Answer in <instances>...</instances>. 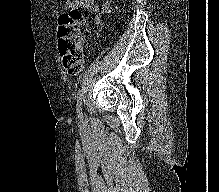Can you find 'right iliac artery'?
I'll return each mask as SVG.
<instances>
[{"label": "right iliac artery", "instance_id": "1", "mask_svg": "<svg viewBox=\"0 0 219 192\" xmlns=\"http://www.w3.org/2000/svg\"><path fill=\"white\" fill-rule=\"evenodd\" d=\"M77 114H78V118L82 119V112H81V97H80V93L78 92V96H77Z\"/></svg>", "mask_w": 219, "mask_h": 192}]
</instances>
